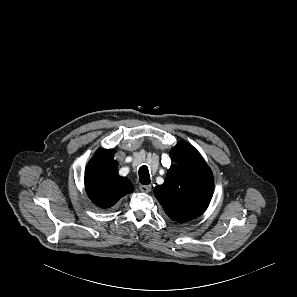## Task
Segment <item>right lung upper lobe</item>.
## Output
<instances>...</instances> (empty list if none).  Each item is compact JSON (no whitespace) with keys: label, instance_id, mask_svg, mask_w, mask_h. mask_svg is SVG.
<instances>
[{"label":"right lung upper lobe","instance_id":"1","mask_svg":"<svg viewBox=\"0 0 297 297\" xmlns=\"http://www.w3.org/2000/svg\"><path fill=\"white\" fill-rule=\"evenodd\" d=\"M85 189L97 206L112 207L120 198L133 191L131 182L118 175L113 151L102 149L88 163L85 171Z\"/></svg>","mask_w":297,"mask_h":297}]
</instances>
